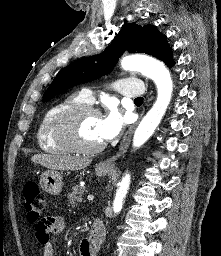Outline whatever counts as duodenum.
I'll return each instance as SVG.
<instances>
[{
  "mask_svg": "<svg viewBox=\"0 0 221 256\" xmlns=\"http://www.w3.org/2000/svg\"><path fill=\"white\" fill-rule=\"evenodd\" d=\"M104 233L105 229L103 222L99 218L95 219L92 225L91 232L88 236L89 242L95 247L99 246L103 241Z\"/></svg>",
  "mask_w": 221,
  "mask_h": 256,
  "instance_id": "410a0bca",
  "label": "duodenum"
}]
</instances>
